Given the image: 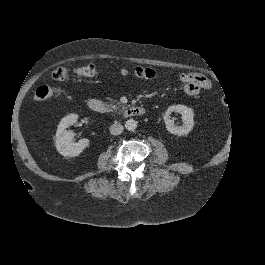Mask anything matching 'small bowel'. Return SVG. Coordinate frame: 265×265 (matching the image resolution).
Returning <instances> with one entry per match:
<instances>
[{"label":"small bowel","mask_w":265,"mask_h":265,"mask_svg":"<svg viewBox=\"0 0 265 265\" xmlns=\"http://www.w3.org/2000/svg\"><path fill=\"white\" fill-rule=\"evenodd\" d=\"M121 75L126 76L127 71L122 70ZM179 81L182 84L185 93L189 96L198 95L202 90H208L211 87V82L199 73L180 74Z\"/></svg>","instance_id":"c3829d8e"}]
</instances>
